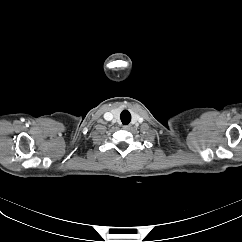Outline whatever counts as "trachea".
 Segmentation results:
<instances>
[{
    "instance_id": "3493384b",
    "label": "trachea",
    "mask_w": 242,
    "mask_h": 242,
    "mask_svg": "<svg viewBox=\"0 0 242 242\" xmlns=\"http://www.w3.org/2000/svg\"><path fill=\"white\" fill-rule=\"evenodd\" d=\"M121 121L124 125H127L131 121V114L127 110H123L120 114Z\"/></svg>"
}]
</instances>
